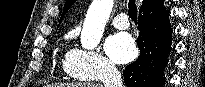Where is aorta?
Instances as JSON below:
<instances>
[{"label": "aorta", "mask_w": 205, "mask_h": 87, "mask_svg": "<svg viewBox=\"0 0 205 87\" xmlns=\"http://www.w3.org/2000/svg\"><path fill=\"white\" fill-rule=\"evenodd\" d=\"M113 8V0H93L86 14L81 32V45L94 49L100 43Z\"/></svg>", "instance_id": "obj_1"}]
</instances>
